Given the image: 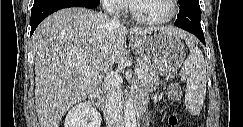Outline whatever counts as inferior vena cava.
Masks as SVG:
<instances>
[{"label": "inferior vena cava", "mask_w": 243, "mask_h": 127, "mask_svg": "<svg viewBox=\"0 0 243 127\" xmlns=\"http://www.w3.org/2000/svg\"><path fill=\"white\" fill-rule=\"evenodd\" d=\"M113 24H119L116 18L112 19ZM122 79L112 69L106 74L103 87L106 90V125L107 127H124L123 110L121 101Z\"/></svg>", "instance_id": "obj_1"}]
</instances>
